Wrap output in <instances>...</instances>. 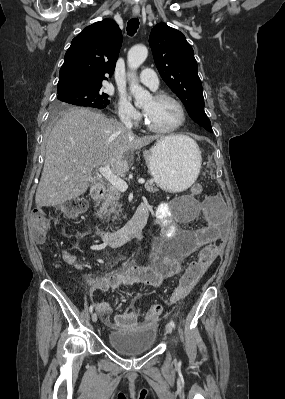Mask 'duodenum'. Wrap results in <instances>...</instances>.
Returning a JSON list of instances; mask_svg holds the SVG:
<instances>
[{"label":"duodenum","instance_id":"obj_1","mask_svg":"<svg viewBox=\"0 0 285 399\" xmlns=\"http://www.w3.org/2000/svg\"><path fill=\"white\" fill-rule=\"evenodd\" d=\"M104 193V186L100 184L93 185L90 190L91 200L93 202L100 201ZM147 219L148 210L146 206L139 205L131 220L124 227L114 231L101 230L97 233L98 238L109 245H120L135 239H140Z\"/></svg>","mask_w":285,"mask_h":399}]
</instances>
